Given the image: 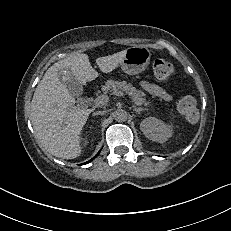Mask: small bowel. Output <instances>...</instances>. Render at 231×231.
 I'll use <instances>...</instances> for the list:
<instances>
[{"instance_id":"obj_1","label":"small bowel","mask_w":231,"mask_h":231,"mask_svg":"<svg viewBox=\"0 0 231 231\" xmlns=\"http://www.w3.org/2000/svg\"><path fill=\"white\" fill-rule=\"evenodd\" d=\"M141 87L146 91L148 92L149 94L153 95V96H156V97H159L163 100H170L172 98L171 94L168 93L163 87L157 85V84H154V83H151V82H148V81H142L141 82Z\"/></svg>"}]
</instances>
